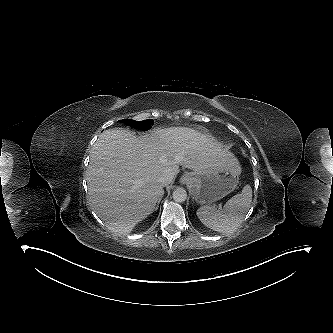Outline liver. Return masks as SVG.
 <instances>
[{
	"mask_svg": "<svg viewBox=\"0 0 333 333\" xmlns=\"http://www.w3.org/2000/svg\"><path fill=\"white\" fill-rule=\"evenodd\" d=\"M236 162L221 144L191 128L156 129L141 137L108 129L90 155L89 203L111 231L128 234L161 200L164 190L158 177L164 170L174 179L179 165L202 172Z\"/></svg>",
	"mask_w": 333,
	"mask_h": 333,
	"instance_id": "1",
	"label": "liver"
}]
</instances>
